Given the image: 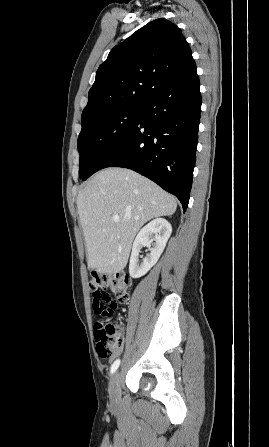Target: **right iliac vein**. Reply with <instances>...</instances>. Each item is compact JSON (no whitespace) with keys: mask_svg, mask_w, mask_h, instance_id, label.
Returning a JSON list of instances; mask_svg holds the SVG:
<instances>
[{"mask_svg":"<svg viewBox=\"0 0 269 447\" xmlns=\"http://www.w3.org/2000/svg\"><path fill=\"white\" fill-rule=\"evenodd\" d=\"M120 373L116 371L111 379L109 384V395L110 401L113 405H117L120 400Z\"/></svg>","mask_w":269,"mask_h":447,"instance_id":"right-iliac-vein-1","label":"right iliac vein"}]
</instances>
